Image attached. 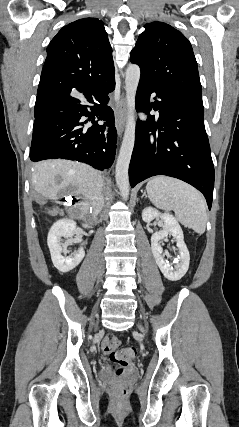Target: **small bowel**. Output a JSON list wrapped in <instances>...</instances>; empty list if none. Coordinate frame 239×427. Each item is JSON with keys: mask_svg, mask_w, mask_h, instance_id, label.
Returning <instances> with one entry per match:
<instances>
[{"mask_svg": "<svg viewBox=\"0 0 239 427\" xmlns=\"http://www.w3.org/2000/svg\"><path fill=\"white\" fill-rule=\"evenodd\" d=\"M119 344H120L119 339L115 337H112V338L107 337L102 341V349L105 353H108L112 349L117 347Z\"/></svg>", "mask_w": 239, "mask_h": 427, "instance_id": "1", "label": "small bowel"}]
</instances>
